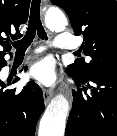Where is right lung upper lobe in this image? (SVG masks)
Here are the masks:
<instances>
[{
	"instance_id": "cb5924a9",
	"label": "right lung upper lobe",
	"mask_w": 117,
	"mask_h": 136,
	"mask_svg": "<svg viewBox=\"0 0 117 136\" xmlns=\"http://www.w3.org/2000/svg\"><path fill=\"white\" fill-rule=\"evenodd\" d=\"M29 5L30 0H0V59L11 50L9 35H20L19 32L13 35L11 31H17L27 21ZM5 35L8 38H4Z\"/></svg>"
}]
</instances>
